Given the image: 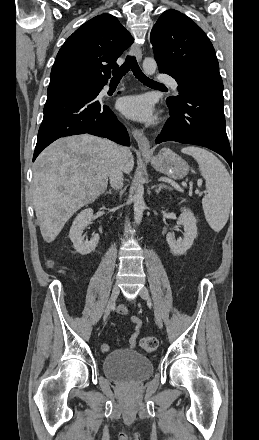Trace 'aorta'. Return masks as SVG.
<instances>
[{
  "mask_svg": "<svg viewBox=\"0 0 259 440\" xmlns=\"http://www.w3.org/2000/svg\"><path fill=\"white\" fill-rule=\"evenodd\" d=\"M157 64L156 61L153 58H145L143 61V70L144 73L148 76L153 75L156 71ZM144 186L142 185V180L140 179L134 197V220L136 224H140L142 217H143V211L145 208V202H144Z\"/></svg>",
  "mask_w": 259,
  "mask_h": 440,
  "instance_id": "1",
  "label": "aorta"
}]
</instances>
